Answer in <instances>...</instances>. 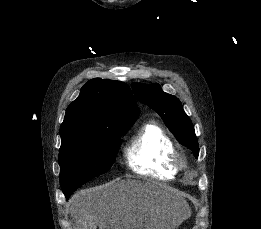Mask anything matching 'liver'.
<instances>
[{"mask_svg":"<svg viewBox=\"0 0 261 229\" xmlns=\"http://www.w3.org/2000/svg\"><path fill=\"white\" fill-rule=\"evenodd\" d=\"M162 189L141 181L84 189L71 197L69 213L79 229H160L167 223L158 207Z\"/></svg>","mask_w":261,"mask_h":229,"instance_id":"liver-1","label":"liver"}]
</instances>
